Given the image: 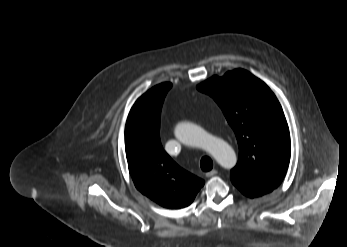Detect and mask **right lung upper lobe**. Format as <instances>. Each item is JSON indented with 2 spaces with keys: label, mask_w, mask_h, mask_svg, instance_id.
Returning a JSON list of instances; mask_svg holds the SVG:
<instances>
[{
  "label": "right lung upper lobe",
  "mask_w": 347,
  "mask_h": 247,
  "mask_svg": "<svg viewBox=\"0 0 347 247\" xmlns=\"http://www.w3.org/2000/svg\"><path fill=\"white\" fill-rule=\"evenodd\" d=\"M171 83H161L137 99L125 126L128 168L136 188L162 207L192 203L204 181L179 167L162 148L160 114Z\"/></svg>",
  "instance_id": "right-lung-upper-lobe-1"
}]
</instances>
